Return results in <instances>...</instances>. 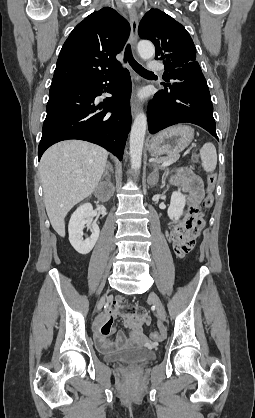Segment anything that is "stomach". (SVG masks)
Instances as JSON below:
<instances>
[{"label":"stomach","instance_id":"1","mask_svg":"<svg viewBox=\"0 0 255 418\" xmlns=\"http://www.w3.org/2000/svg\"><path fill=\"white\" fill-rule=\"evenodd\" d=\"M194 129L188 125H175L155 135L148 144L152 155H175L183 151L193 140Z\"/></svg>","mask_w":255,"mask_h":418}]
</instances>
